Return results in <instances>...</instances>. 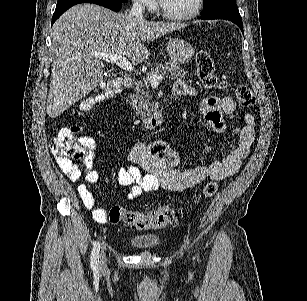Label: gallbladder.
Segmentation results:
<instances>
[{
  "mask_svg": "<svg viewBox=\"0 0 307 301\" xmlns=\"http://www.w3.org/2000/svg\"><path fill=\"white\" fill-rule=\"evenodd\" d=\"M104 76H111V72H104Z\"/></svg>",
  "mask_w": 307,
  "mask_h": 301,
  "instance_id": "1",
  "label": "gallbladder"
}]
</instances>
